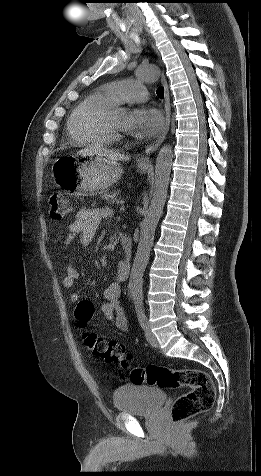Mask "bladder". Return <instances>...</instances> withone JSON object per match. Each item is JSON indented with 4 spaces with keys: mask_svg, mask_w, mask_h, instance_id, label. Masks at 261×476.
<instances>
[{
    "mask_svg": "<svg viewBox=\"0 0 261 476\" xmlns=\"http://www.w3.org/2000/svg\"><path fill=\"white\" fill-rule=\"evenodd\" d=\"M165 400V392L152 385H124L113 394V403L118 411L139 416L153 414L161 408Z\"/></svg>",
    "mask_w": 261,
    "mask_h": 476,
    "instance_id": "1",
    "label": "bladder"
}]
</instances>
